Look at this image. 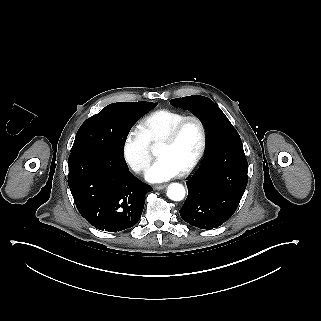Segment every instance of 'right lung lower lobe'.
I'll list each match as a JSON object with an SVG mask.
<instances>
[{"label":"right lung lower lobe","instance_id":"obj_1","mask_svg":"<svg viewBox=\"0 0 321 321\" xmlns=\"http://www.w3.org/2000/svg\"><path fill=\"white\" fill-rule=\"evenodd\" d=\"M118 130L128 135L141 117L136 109L116 112ZM68 185L80 214L95 228L119 232L140 219L151 186L138 180L124 157L101 151H78L68 160Z\"/></svg>","mask_w":321,"mask_h":321}]
</instances>
